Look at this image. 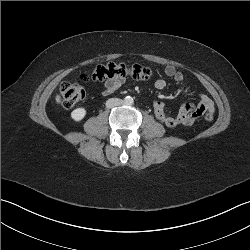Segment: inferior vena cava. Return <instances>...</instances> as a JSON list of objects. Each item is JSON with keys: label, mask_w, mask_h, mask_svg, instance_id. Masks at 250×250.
I'll use <instances>...</instances> for the list:
<instances>
[{"label": "inferior vena cava", "mask_w": 250, "mask_h": 250, "mask_svg": "<svg viewBox=\"0 0 250 250\" xmlns=\"http://www.w3.org/2000/svg\"><path fill=\"white\" fill-rule=\"evenodd\" d=\"M123 104V101L119 98H111V99H108L107 102H106V107L107 108H113V107H116V106H120Z\"/></svg>", "instance_id": "602c4592"}]
</instances>
